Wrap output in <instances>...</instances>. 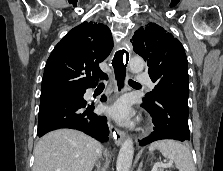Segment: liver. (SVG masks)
Returning <instances> with one entry per match:
<instances>
[{"instance_id":"liver-1","label":"liver","mask_w":223,"mask_h":171,"mask_svg":"<svg viewBox=\"0 0 223 171\" xmlns=\"http://www.w3.org/2000/svg\"><path fill=\"white\" fill-rule=\"evenodd\" d=\"M100 153V143L83 132L55 130L36 144L32 171H92Z\"/></svg>"}]
</instances>
